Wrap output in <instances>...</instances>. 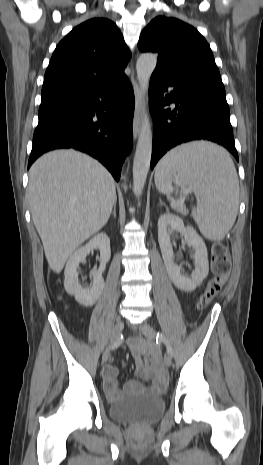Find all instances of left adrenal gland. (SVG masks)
I'll list each match as a JSON object with an SVG mask.
<instances>
[{"mask_svg": "<svg viewBox=\"0 0 263 465\" xmlns=\"http://www.w3.org/2000/svg\"><path fill=\"white\" fill-rule=\"evenodd\" d=\"M159 204H160V206H165V204L162 202L161 199H159Z\"/></svg>", "mask_w": 263, "mask_h": 465, "instance_id": "obj_1", "label": "left adrenal gland"}]
</instances>
